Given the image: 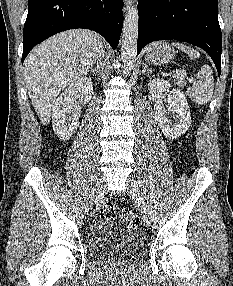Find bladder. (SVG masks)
<instances>
[{
	"label": "bladder",
	"instance_id": "1",
	"mask_svg": "<svg viewBox=\"0 0 233 286\" xmlns=\"http://www.w3.org/2000/svg\"><path fill=\"white\" fill-rule=\"evenodd\" d=\"M89 253L98 262H141L148 252L145 235L136 227L116 218H102L89 236Z\"/></svg>",
	"mask_w": 233,
	"mask_h": 286
}]
</instances>
